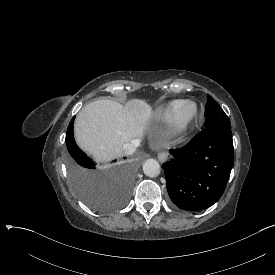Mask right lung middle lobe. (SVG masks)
Segmentation results:
<instances>
[{
    "instance_id": "obj_1",
    "label": "right lung middle lobe",
    "mask_w": 275,
    "mask_h": 275,
    "mask_svg": "<svg viewBox=\"0 0 275 275\" xmlns=\"http://www.w3.org/2000/svg\"><path fill=\"white\" fill-rule=\"evenodd\" d=\"M74 119L75 117L66 133L67 168L71 187L92 209L110 212L128 200L136 176V166L126 158H115L111 165L105 166L90 159L74 140Z\"/></svg>"
}]
</instances>
